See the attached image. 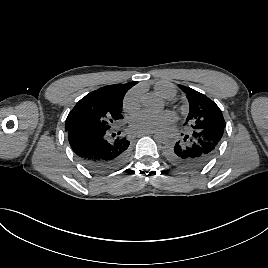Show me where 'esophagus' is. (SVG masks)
Listing matches in <instances>:
<instances>
[{
	"instance_id": "obj_1",
	"label": "esophagus",
	"mask_w": 268,
	"mask_h": 268,
	"mask_svg": "<svg viewBox=\"0 0 268 268\" xmlns=\"http://www.w3.org/2000/svg\"><path fill=\"white\" fill-rule=\"evenodd\" d=\"M140 138H145V133H140Z\"/></svg>"
}]
</instances>
